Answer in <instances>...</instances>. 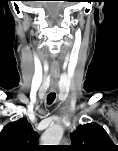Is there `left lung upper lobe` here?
Returning <instances> with one entry per match:
<instances>
[{"mask_svg": "<svg viewBox=\"0 0 118 151\" xmlns=\"http://www.w3.org/2000/svg\"><path fill=\"white\" fill-rule=\"evenodd\" d=\"M72 150L75 151H110L115 145L106 131L96 123L80 125L71 134Z\"/></svg>", "mask_w": 118, "mask_h": 151, "instance_id": "obj_1", "label": "left lung upper lobe"}]
</instances>
